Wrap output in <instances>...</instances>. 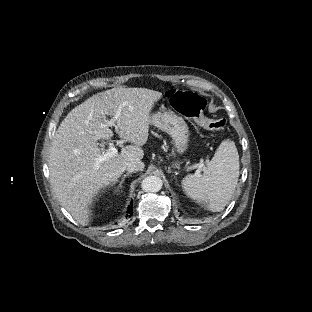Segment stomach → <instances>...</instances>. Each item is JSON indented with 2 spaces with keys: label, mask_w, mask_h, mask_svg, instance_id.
<instances>
[{
  "label": "stomach",
  "mask_w": 312,
  "mask_h": 312,
  "mask_svg": "<svg viewBox=\"0 0 312 312\" xmlns=\"http://www.w3.org/2000/svg\"><path fill=\"white\" fill-rule=\"evenodd\" d=\"M151 124L167 132L173 140L175 150L182 154L185 152L189 141V128L184 119L173 111L157 112L151 116ZM176 162L174 167H179Z\"/></svg>",
  "instance_id": "obj_1"
}]
</instances>
